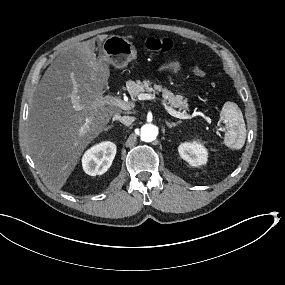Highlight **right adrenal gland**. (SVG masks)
I'll use <instances>...</instances> for the list:
<instances>
[{
    "label": "right adrenal gland",
    "instance_id": "1",
    "mask_svg": "<svg viewBox=\"0 0 285 285\" xmlns=\"http://www.w3.org/2000/svg\"><path fill=\"white\" fill-rule=\"evenodd\" d=\"M113 126L112 125H108L107 127L104 128V131H108L109 129H111Z\"/></svg>",
    "mask_w": 285,
    "mask_h": 285
}]
</instances>
